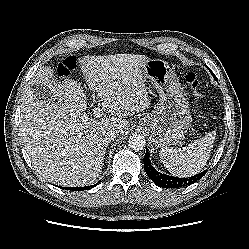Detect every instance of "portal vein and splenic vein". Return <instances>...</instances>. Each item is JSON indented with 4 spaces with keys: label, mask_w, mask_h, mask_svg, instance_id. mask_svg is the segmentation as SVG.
<instances>
[{
    "label": "portal vein and splenic vein",
    "mask_w": 249,
    "mask_h": 249,
    "mask_svg": "<svg viewBox=\"0 0 249 249\" xmlns=\"http://www.w3.org/2000/svg\"><path fill=\"white\" fill-rule=\"evenodd\" d=\"M94 115H95L96 117H100V116H101V109H100V107H96V108L94 109Z\"/></svg>",
    "instance_id": "obj_1"
}]
</instances>
